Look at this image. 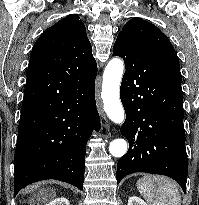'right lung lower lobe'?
Masks as SVG:
<instances>
[{
  "label": "right lung lower lobe",
  "mask_w": 199,
  "mask_h": 205,
  "mask_svg": "<svg viewBox=\"0 0 199 205\" xmlns=\"http://www.w3.org/2000/svg\"><path fill=\"white\" fill-rule=\"evenodd\" d=\"M95 78L79 81L65 95L21 116L14 157V196L27 185L60 180L83 190L86 143L100 129ZM43 88L36 83L25 92Z\"/></svg>",
  "instance_id": "obj_1"
}]
</instances>
